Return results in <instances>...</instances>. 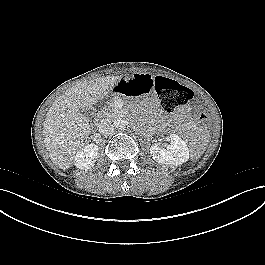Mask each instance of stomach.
<instances>
[{"label":"stomach","mask_w":265,"mask_h":265,"mask_svg":"<svg viewBox=\"0 0 265 265\" xmlns=\"http://www.w3.org/2000/svg\"><path fill=\"white\" fill-rule=\"evenodd\" d=\"M151 77L145 74L120 76L114 82V91L119 96L139 98L151 89Z\"/></svg>","instance_id":"0dacf381"}]
</instances>
